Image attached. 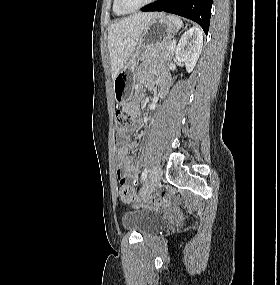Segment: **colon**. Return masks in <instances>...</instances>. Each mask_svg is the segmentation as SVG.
I'll list each match as a JSON object with an SVG mask.
<instances>
[{
    "instance_id": "colon-1",
    "label": "colon",
    "mask_w": 280,
    "mask_h": 285,
    "mask_svg": "<svg viewBox=\"0 0 280 285\" xmlns=\"http://www.w3.org/2000/svg\"><path fill=\"white\" fill-rule=\"evenodd\" d=\"M133 124V117L128 112L117 109L115 112L114 128L117 135L121 136ZM120 197L124 202H133L136 199L134 189L126 182H122L120 185ZM150 202L158 205H165L170 202V196L167 194H159L149 198Z\"/></svg>"
}]
</instances>
